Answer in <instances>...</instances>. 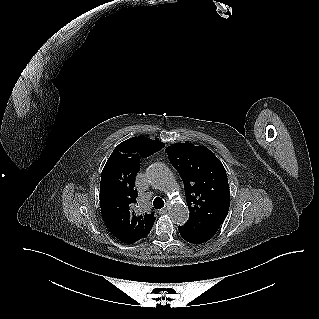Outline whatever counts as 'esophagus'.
I'll list each match as a JSON object with an SVG mask.
<instances>
[{
    "label": "esophagus",
    "mask_w": 319,
    "mask_h": 319,
    "mask_svg": "<svg viewBox=\"0 0 319 319\" xmlns=\"http://www.w3.org/2000/svg\"><path fill=\"white\" fill-rule=\"evenodd\" d=\"M168 211V208H163L158 211L159 214H165Z\"/></svg>",
    "instance_id": "obj_1"
}]
</instances>
